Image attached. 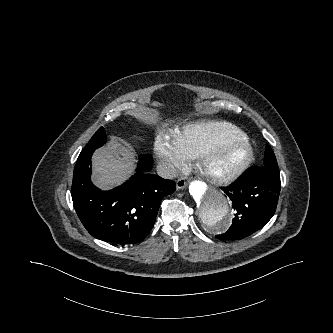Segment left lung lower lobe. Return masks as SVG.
I'll return each mask as SVG.
<instances>
[{"mask_svg": "<svg viewBox=\"0 0 333 333\" xmlns=\"http://www.w3.org/2000/svg\"><path fill=\"white\" fill-rule=\"evenodd\" d=\"M266 151H272L269 145ZM280 187V173L262 166L249 168L234 184L222 187L233 203L235 217L229 230L216 237L239 240L262 228L275 213Z\"/></svg>", "mask_w": 333, "mask_h": 333, "instance_id": "left-lung-lower-lobe-1", "label": "left lung lower lobe"}]
</instances>
